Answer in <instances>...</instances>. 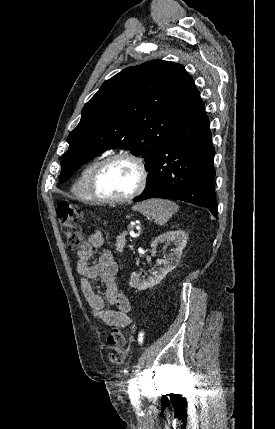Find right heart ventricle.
I'll use <instances>...</instances> for the list:
<instances>
[{
  "label": "right heart ventricle",
  "mask_w": 275,
  "mask_h": 429,
  "mask_svg": "<svg viewBox=\"0 0 275 429\" xmlns=\"http://www.w3.org/2000/svg\"><path fill=\"white\" fill-rule=\"evenodd\" d=\"M100 161V158H96L84 165L73 182L72 192L79 200L85 202L92 201L88 191V181L92 170Z\"/></svg>",
  "instance_id": "e07e8e85"
}]
</instances>
